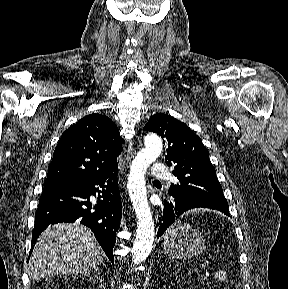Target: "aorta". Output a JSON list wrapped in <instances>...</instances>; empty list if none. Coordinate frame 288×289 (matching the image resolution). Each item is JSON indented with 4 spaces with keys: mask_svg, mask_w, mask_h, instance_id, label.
<instances>
[{
    "mask_svg": "<svg viewBox=\"0 0 288 289\" xmlns=\"http://www.w3.org/2000/svg\"><path fill=\"white\" fill-rule=\"evenodd\" d=\"M162 141L150 136L132 161L128 175V192L137 217L136 237L131 250L132 262L140 264L149 256L154 242V222L148 203L145 173L162 151Z\"/></svg>",
    "mask_w": 288,
    "mask_h": 289,
    "instance_id": "1",
    "label": "aorta"
}]
</instances>
